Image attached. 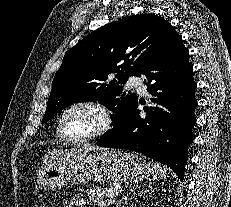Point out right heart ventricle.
I'll return each instance as SVG.
<instances>
[{
  "instance_id": "obj_1",
  "label": "right heart ventricle",
  "mask_w": 231,
  "mask_h": 207,
  "mask_svg": "<svg viewBox=\"0 0 231 207\" xmlns=\"http://www.w3.org/2000/svg\"><path fill=\"white\" fill-rule=\"evenodd\" d=\"M57 137H58V139L60 140V142H62V143L65 142V140L62 138V136H61L60 133H59V129L57 130Z\"/></svg>"
}]
</instances>
